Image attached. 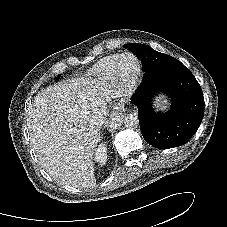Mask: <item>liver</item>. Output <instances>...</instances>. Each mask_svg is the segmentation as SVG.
<instances>
[{
    "label": "liver",
    "mask_w": 227,
    "mask_h": 227,
    "mask_svg": "<svg viewBox=\"0 0 227 227\" xmlns=\"http://www.w3.org/2000/svg\"><path fill=\"white\" fill-rule=\"evenodd\" d=\"M113 97L105 81L79 78L48 86L34 98L30 141L54 180L75 188L96 185L93 156Z\"/></svg>",
    "instance_id": "obj_1"
}]
</instances>
